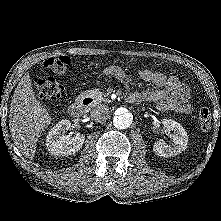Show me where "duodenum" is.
Wrapping results in <instances>:
<instances>
[{
	"instance_id": "410a0bca",
	"label": "duodenum",
	"mask_w": 221,
	"mask_h": 221,
	"mask_svg": "<svg viewBox=\"0 0 221 221\" xmlns=\"http://www.w3.org/2000/svg\"><path fill=\"white\" fill-rule=\"evenodd\" d=\"M132 98H137L133 96ZM93 103V98L90 96H83L80 100L71 103L68 107V113L74 117H81L87 106Z\"/></svg>"
}]
</instances>
